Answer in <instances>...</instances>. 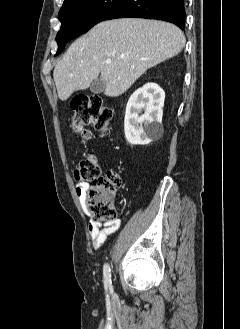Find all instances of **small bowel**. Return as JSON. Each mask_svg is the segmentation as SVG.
<instances>
[{
	"label": "small bowel",
	"mask_w": 240,
	"mask_h": 329,
	"mask_svg": "<svg viewBox=\"0 0 240 329\" xmlns=\"http://www.w3.org/2000/svg\"><path fill=\"white\" fill-rule=\"evenodd\" d=\"M88 187V184H76L75 186V191L81 205H85V193ZM119 225L118 220L105 224L95 220L90 221L89 234L94 248L99 249L104 244L107 236L118 230Z\"/></svg>",
	"instance_id": "1"
}]
</instances>
